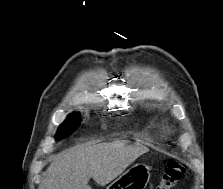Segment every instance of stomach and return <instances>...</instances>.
I'll list each match as a JSON object with an SVG mask.
<instances>
[{
    "instance_id": "0dacf381",
    "label": "stomach",
    "mask_w": 223,
    "mask_h": 189,
    "mask_svg": "<svg viewBox=\"0 0 223 189\" xmlns=\"http://www.w3.org/2000/svg\"><path fill=\"white\" fill-rule=\"evenodd\" d=\"M150 175L148 166L136 164L122 173L106 189H145Z\"/></svg>"
}]
</instances>
